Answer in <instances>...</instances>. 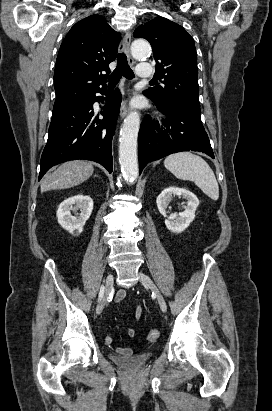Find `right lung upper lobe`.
<instances>
[{
    "label": "right lung upper lobe",
    "mask_w": 272,
    "mask_h": 411,
    "mask_svg": "<svg viewBox=\"0 0 272 411\" xmlns=\"http://www.w3.org/2000/svg\"><path fill=\"white\" fill-rule=\"evenodd\" d=\"M120 40V34L102 16L91 15L77 22L63 40L57 56L55 104L85 99L105 89L106 75L101 77V72L107 75L111 72L109 63L116 58Z\"/></svg>",
    "instance_id": "obj_1"
}]
</instances>
